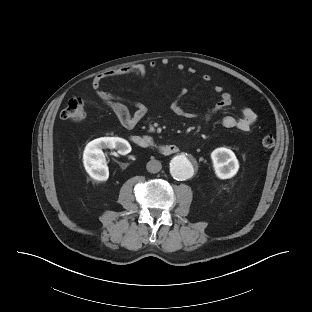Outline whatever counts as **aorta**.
I'll return each mask as SVG.
<instances>
[{
  "label": "aorta",
  "instance_id": "aorta-1",
  "mask_svg": "<svg viewBox=\"0 0 312 312\" xmlns=\"http://www.w3.org/2000/svg\"><path fill=\"white\" fill-rule=\"evenodd\" d=\"M195 165L185 155H179L172 159L170 163V173L176 180H186L193 176Z\"/></svg>",
  "mask_w": 312,
  "mask_h": 312
}]
</instances>
